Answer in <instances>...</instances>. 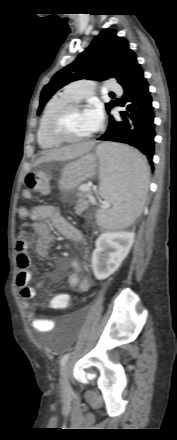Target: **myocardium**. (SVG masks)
Wrapping results in <instances>:
<instances>
[{"instance_id": "myocardium-1", "label": "myocardium", "mask_w": 177, "mask_h": 440, "mask_svg": "<svg viewBox=\"0 0 177 440\" xmlns=\"http://www.w3.org/2000/svg\"><path fill=\"white\" fill-rule=\"evenodd\" d=\"M79 110H84V105L78 102L69 103L57 110L47 124L46 131L48 136L59 144L79 143L89 140L92 137V134H89L82 138H70L66 136L63 132L62 125L65 118L68 116L69 113Z\"/></svg>"}]
</instances>
